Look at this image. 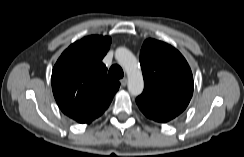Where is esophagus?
<instances>
[{
    "label": "esophagus",
    "mask_w": 244,
    "mask_h": 157,
    "mask_svg": "<svg viewBox=\"0 0 244 157\" xmlns=\"http://www.w3.org/2000/svg\"><path fill=\"white\" fill-rule=\"evenodd\" d=\"M120 83L123 87H125L127 85V78L124 77L123 79H121Z\"/></svg>",
    "instance_id": "esophagus-1"
}]
</instances>
